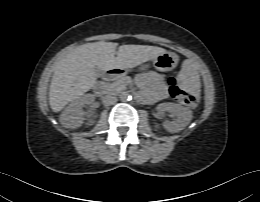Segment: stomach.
I'll return each instance as SVG.
<instances>
[{
	"label": "stomach",
	"instance_id": "obj_1",
	"mask_svg": "<svg viewBox=\"0 0 260 202\" xmlns=\"http://www.w3.org/2000/svg\"><path fill=\"white\" fill-rule=\"evenodd\" d=\"M178 56L173 52H165L152 59L153 66L159 71H170L178 64Z\"/></svg>",
	"mask_w": 260,
	"mask_h": 202
}]
</instances>
